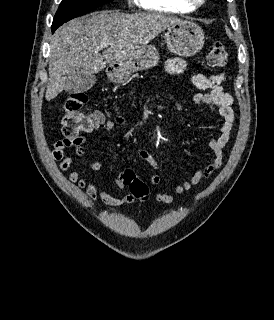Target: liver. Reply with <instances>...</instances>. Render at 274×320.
Wrapping results in <instances>:
<instances>
[{"instance_id":"6515ba94","label":"liver","mask_w":274,"mask_h":320,"mask_svg":"<svg viewBox=\"0 0 274 320\" xmlns=\"http://www.w3.org/2000/svg\"><path fill=\"white\" fill-rule=\"evenodd\" d=\"M181 22L169 14H121L119 10L93 12L75 18L56 30L50 42L49 82L46 100L71 92L80 74H98L106 64L135 58L155 36ZM102 44V56L99 54Z\"/></svg>"}]
</instances>
